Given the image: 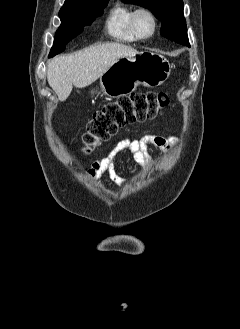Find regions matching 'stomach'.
Here are the masks:
<instances>
[{
    "label": "stomach",
    "instance_id": "obj_1",
    "mask_svg": "<svg viewBox=\"0 0 240 329\" xmlns=\"http://www.w3.org/2000/svg\"><path fill=\"white\" fill-rule=\"evenodd\" d=\"M171 68L162 54L142 51L135 56L118 59L100 77V88L109 97H123L135 91L139 84L146 87L162 85L168 79Z\"/></svg>",
    "mask_w": 240,
    "mask_h": 329
}]
</instances>
